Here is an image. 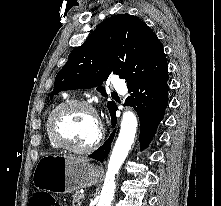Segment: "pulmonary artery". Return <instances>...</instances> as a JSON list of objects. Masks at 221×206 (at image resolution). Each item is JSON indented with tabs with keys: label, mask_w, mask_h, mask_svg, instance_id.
Listing matches in <instances>:
<instances>
[{
	"label": "pulmonary artery",
	"mask_w": 221,
	"mask_h": 206,
	"mask_svg": "<svg viewBox=\"0 0 221 206\" xmlns=\"http://www.w3.org/2000/svg\"><path fill=\"white\" fill-rule=\"evenodd\" d=\"M112 86L120 93L125 91V83L117 77L112 79Z\"/></svg>",
	"instance_id": "1"
}]
</instances>
